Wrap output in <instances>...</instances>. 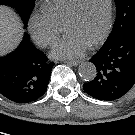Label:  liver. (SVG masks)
Listing matches in <instances>:
<instances>
[{"mask_svg":"<svg viewBox=\"0 0 135 135\" xmlns=\"http://www.w3.org/2000/svg\"><path fill=\"white\" fill-rule=\"evenodd\" d=\"M22 24L8 6L0 5V56L13 50L20 42Z\"/></svg>","mask_w":135,"mask_h":135,"instance_id":"liver-1","label":"liver"}]
</instances>
